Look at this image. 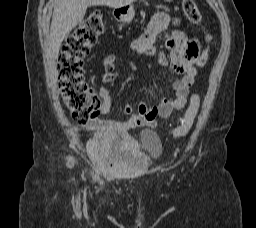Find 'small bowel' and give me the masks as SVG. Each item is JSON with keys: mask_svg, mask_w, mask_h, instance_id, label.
<instances>
[{"mask_svg": "<svg viewBox=\"0 0 256 228\" xmlns=\"http://www.w3.org/2000/svg\"><path fill=\"white\" fill-rule=\"evenodd\" d=\"M178 20L164 12H155L143 34L131 43L134 52L145 56H155L162 65L169 66L174 72L181 75L173 83L175 97L173 99L161 98L157 106L150 107L144 101L139 102L137 112L133 111L131 104H125L124 113L128 119L124 122L113 120H92L93 126L99 134L124 133L136 127H156L158 117L167 118L172 112L181 110L187 103L189 89L197 75L195 62L199 53V43L196 39H189L182 31H174L165 42L170 56L155 50L156 38L169 28L176 25ZM118 73L116 69V56L108 55L104 59V83L115 81ZM99 95L102 99L101 113L107 115L111 111L110 90L104 86L99 87Z\"/></svg>", "mask_w": 256, "mask_h": 228, "instance_id": "obj_1", "label": "small bowel"}]
</instances>
